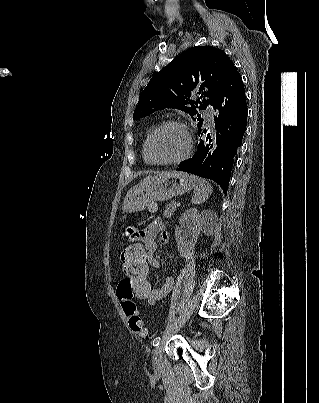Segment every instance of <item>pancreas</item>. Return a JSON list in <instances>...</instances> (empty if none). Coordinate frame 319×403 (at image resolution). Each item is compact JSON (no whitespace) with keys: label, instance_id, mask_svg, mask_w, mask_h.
Returning <instances> with one entry per match:
<instances>
[{"label":"pancreas","instance_id":"pancreas-1","mask_svg":"<svg viewBox=\"0 0 319 403\" xmlns=\"http://www.w3.org/2000/svg\"><path fill=\"white\" fill-rule=\"evenodd\" d=\"M175 210H176V205H174L173 203L168 204V205L166 206L165 211L163 212V215H164L165 217L169 218V217L172 216V214L175 212Z\"/></svg>","mask_w":319,"mask_h":403}]
</instances>
